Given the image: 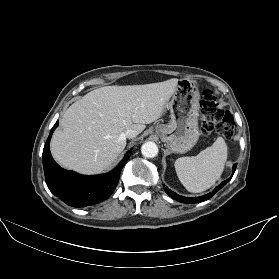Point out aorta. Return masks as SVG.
I'll return each instance as SVG.
<instances>
[{
    "instance_id": "aorta-1",
    "label": "aorta",
    "mask_w": 279,
    "mask_h": 279,
    "mask_svg": "<svg viewBox=\"0 0 279 279\" xmlns=\"http://www.w3.org/2000/svg\"><path fill=\"white\" fill-rule=\"evenodd\" d=\"M158 151V146L154 142H146L141 147L142 155L146 158L157 156Z\"/></svg>"
}]
</instances>
